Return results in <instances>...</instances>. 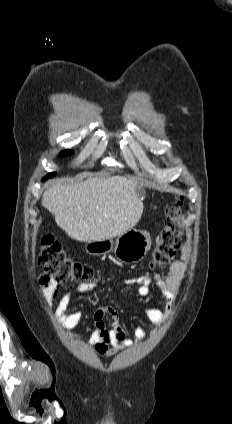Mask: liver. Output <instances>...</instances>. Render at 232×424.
I'll return each instance as SVG.
<instances>
[{"mask_svg": "<svg viewBox=\"0 0 232 424\" xmlns=\"http://www.w3.org/2000/svg\"><path fill=\"white\" fill-rule=\"evenodd\" d=\"M141 187L131 178H88L66 184L56 181L42 196L69 237L81 242L111 239L133 228L143 213Z\"/></svg>", "mask_w": 232, "mask_h": 424, "instance_id": "liver-1", "label": "liver"}]
</instances>
